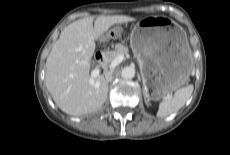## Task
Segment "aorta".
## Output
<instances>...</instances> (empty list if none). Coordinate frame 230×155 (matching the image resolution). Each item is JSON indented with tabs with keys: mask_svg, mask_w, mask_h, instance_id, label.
<instances>
[{
	"mask_svg": "<svg viewBox=\"0 0 230 155\" xmlns=\"http://www.w3.org/2000/svg\"><path fill=\"white\" fill-rule=\"evenodd\" d=\"M121 76L124 79H132L135 76V68L131 66L124 67L121 72Z\"/></svg>",
	"mask_w": 230,
	"mask_h": 155,
	"instance_id": "obj_1",
	"label": "aorta"
}]
</instances>
